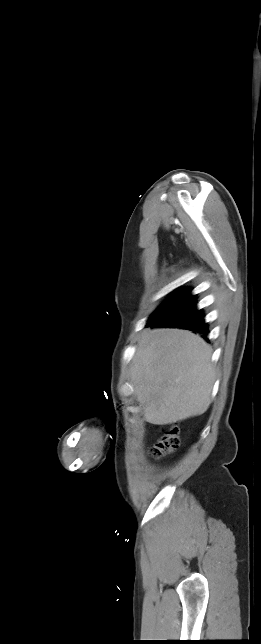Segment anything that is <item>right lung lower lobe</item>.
I'll list each match as a JSON object with an SVG mask.
<instances>
[{
    "label": "right lung lower lobe",
    "mask_w": 261,
    "mask_h": 644,
    "mask_svg": "<svg viewBox=\"0 0 261 644\" xmlns=\"http://www.w3.org/2000/svg\"><path fill=\"white\" fill-rule=\"evenodd\" d=\"M147 326L189 329L193 332L203 333L202 336L205 339H207L206 334L209 332L208 324L204 321L203 311L196 308V298L167 316L150 321Z\"/></svg>",
    "instance_id": "98d812e1"
}]
</instances>
